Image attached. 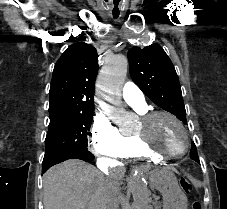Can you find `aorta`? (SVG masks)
<instances>
[{"label": "aorta", "mask_w": 227, "mask_h": 209, "mask_svg": "<svg viewBox=\"0 0 227 209\" xmlns=\"http://www.w3.org/2000/svg\"><path fill=\"white\" fill-rule=\"evenodd\" d=\"M128 69L127 58L123 55H114L106 60L97 80L101 108L109 116L120 115L125 111L117 106ZM129 188L133 203L131 209H149V190L139 168L131 171Z\"/></svg>", "instance_id": "obj_1"}]
</instances>
